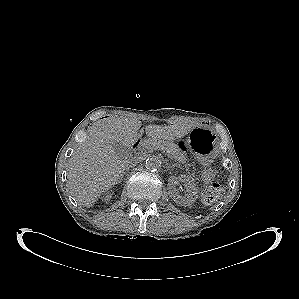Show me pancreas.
I'll return each instance as SVG.
<instances>
[{
    "label": "pancreas",
    "instance_id": "cf45deb5",
    "mask_svg": "<svg viewBox=\"0 0 299 299\" xmlns=\"http://www.w3.org/2000/svg\"><path fill=\"white\" fill-rule=\"evenodd\" d=\"M143 148L146 150H161L166 152L170 158H174L179 162H183L185 159L179 147L174 143L150 139L144 142Z\"/></svg>",
    "mask_w": 299,
    "mask_h": 299
}]
</instances>
